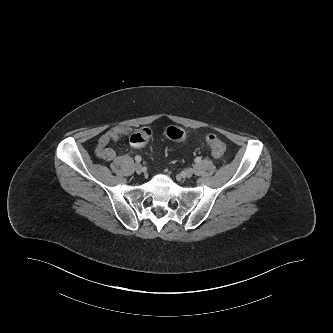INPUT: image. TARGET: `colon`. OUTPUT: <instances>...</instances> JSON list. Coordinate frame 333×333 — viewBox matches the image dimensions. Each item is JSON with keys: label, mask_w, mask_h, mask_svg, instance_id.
<instances>
[{"label": "colon", "mask_w": 333, "mask_h": 333, "mask_svg": "<svg viewBox=\"0 0 333 333\" xmlns=\"http://www.w3.org/2000/svg\"><path fill=\"white\" fill-rule=\"evenodd\" d=\"M166 136L172 140L182 141L186 138V133L178 127H169L166 130ZM152 131L149 128H142L134 132L129 141V148L133 152H140L144 149L145 144L151 139ZM207 144L214 157L220 158L225 153V144L216 135L207 136Z\"/></svg>", "instance_id": "obj_1"}]
</instances>
